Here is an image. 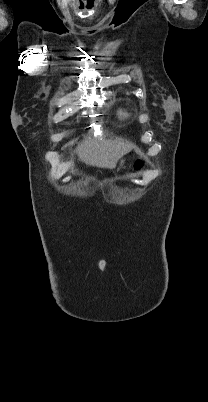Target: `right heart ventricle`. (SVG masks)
Instances as JSON below:
<instances>
[{"label": "right heart ventricle", "instance_id": "obj_1", "mask_svg": "<svg viewBox=\"0 0 208 402\" xmlns=\"http://www.w3.org/2000/svg\"><path fill=\"white\" fill-rule=\"evenodd\" d=\"M117 115L121 120L126 119L128 117V113L124 109H119Z\"/></svg>", "mask_w": 208, "mask_h": 402}]
</instances>
